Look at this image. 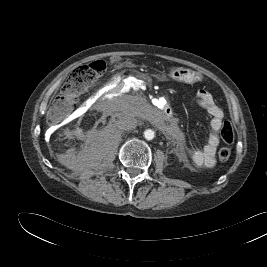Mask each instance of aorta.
<instances>
[{"instance_id":"762f6f07","label":"aorta","mask_w":267,"mask_h":267,"mask_svg":"<svg viewBox=\"0 0 267 267\" xmlns=\"http://www.w3.org/2000/svg\"><path fill=\"white\" fill-rule=\"evenodd\" d=\"M155 137V132L151 129L144 131V138L147 140H152Z\"/></svg>"}]
</instances>
